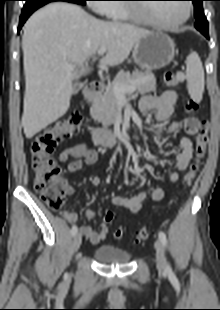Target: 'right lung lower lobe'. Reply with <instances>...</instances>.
Wrapping results in <instances>:
<instances>
[{"instance_id": "right-lung-lower-lobe-1", "label": "right lung lower lobe", "mask_w": 220, "mask_h": 310, "mask_svg": "<svg viewBox=\"0 0 220 310\" xmlns=\"http://www.w3.org/2000/svg\"><path fill=\"white\" fill-rule=\"evenodd\" d=\"M52 1H67V2H71V3H77V4H81L80 2L77 1H73V0H50V1H45L39 4H33V5H24L23 9H22V13L20 16V20H19V27H18V33L21 29V27L23 26V24L25 23V21L28 19V17L38 8L42 7L43 5L52 2Z\"/></svg>"}]
</instances>
